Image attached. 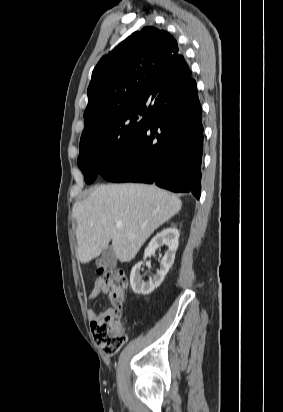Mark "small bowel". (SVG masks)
<instances>
[{
  "label": "small bowel",
  "mask_w": 283,
  "mask_h": 412,
  "mask_svg": "<svg viewBox=\"0 0 283 412\" xmlns=\"http://www.w3.org/2000/svg\"><path fill=\"white\" fill-rule=\"evenodd\" d=\"M108 292V287L107 285L104 283L103 280L101 279H97L94 282V286L91 290V292L89 293L88 299L90 302H93L94 300H96L101 294H106ZM111 309H107L104 312H96L94 309L90 308L88 311V316L89 319L92 322L98 320L99 318L103 317L105 314H107L108 312H110Z\"/></svg>",
  "instance_id": "obj_1"
}]
</instances>
